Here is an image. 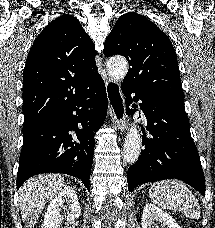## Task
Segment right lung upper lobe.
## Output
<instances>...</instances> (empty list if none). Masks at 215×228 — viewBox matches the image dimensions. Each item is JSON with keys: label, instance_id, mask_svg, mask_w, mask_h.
<instances>
[{"label": "right lung upper lobe", "instance_id": "obj_1", "mask_svg": "<svg viewBox=\"0 0 215 228\" xmlns=\"http://www.w3.org/2000/svg\"><path fill=\"white\" fill-rule=\"evenodd\" d=\"M96 54L75 17L64 14L49 23L34 41L23 73L24 125L60 109L99 75Z\"/></svg>", "mask_w": 215, "mask_h": 228}]
</instances>
